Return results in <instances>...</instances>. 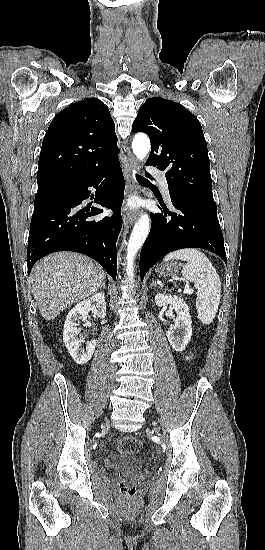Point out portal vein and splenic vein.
<instances>
[{
    "label": "portal vein and splenic vein",
    "mask_w": 265,
    "mask_h": 550,
    "mask_svg": "<svg viewBox=\"0 0 265 550\" xmlns=\"http://www.w3.org/2000/svg\"><path fill=\"white\" fill-rule=\"evenodd\" d=\"M186 292H187V293H192L193 290H192V289H188Z\"/></svg>",
    "instance_id": "obj_1"
}]
</instances>
